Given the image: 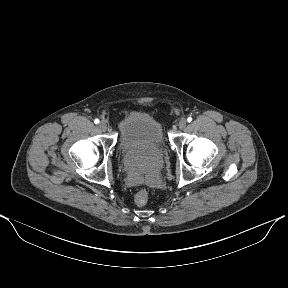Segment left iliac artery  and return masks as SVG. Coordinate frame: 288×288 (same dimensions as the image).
Here are the masks:
<instances>
[{"label": "left iliac artery", "mask_w": 288, "mask_h": 288, "mask_svg": "<svg viewBox=\"0 0 288 288\" xmlns=\"http://www.w3.org/2000/svg\"><path fill=\"white\" fill-rule=\"evenodd\" d=\"M191 121H192V118H191V117H188V118H187V122L190 123Z\"/></svg>", "instance_id": "44dca946"}]
</instances>
